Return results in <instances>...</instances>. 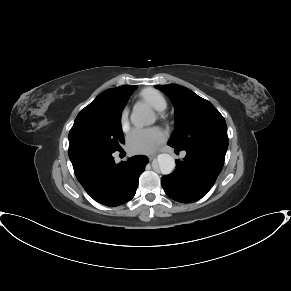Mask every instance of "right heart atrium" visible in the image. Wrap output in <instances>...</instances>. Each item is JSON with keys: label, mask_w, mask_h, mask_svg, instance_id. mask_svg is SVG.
Returning a JSON list of instances; mask_svg holds the SVG:
<instances>
[{"label": "right heart atrium", "mask_w": 291, "mask_h": 291, "mask_svg": "<svg viewBox=\"0 0 291 291\" xmlns=\"http://www.w3.org/2000/svg\"><path fill=\"white\" fill-rule=\"evenodd\" d=\"M120 126L121 129L126 132L129 128V109H123L121 116H120Z\"/></svg>", "instance_id": "obj_1"}]
</instances>
